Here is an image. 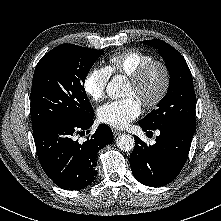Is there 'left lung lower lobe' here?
<instances>
[{
  "label": "left lung lower lobe",
  "instance_id": "1",
  "mask_svg": "<svg viewBox=\"0 0 221 221\" xmlns=\"http://www.w3.org/2000/svg\"><path fill=\"white\" fill-rule=\"evenodd\" d=\"M144 130H159L160 135L154 145H147L138 137L130 156V166L134 177L146 186H164L173 181L183 168L191 146L195 128L180 123H172L150 128L139 122Z\"/></svg>",
  "mask_w": 221,
  "mask_h": 221
}]
</instances>
